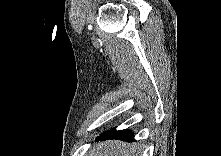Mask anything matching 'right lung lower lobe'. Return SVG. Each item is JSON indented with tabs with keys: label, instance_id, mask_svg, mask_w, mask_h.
Instances as JSON below:
<instances>
[{
	"label": "right lung lower lobe",
	"instance_id": "right-lung-lower-lobe-1",
	"mask_svg": "<svg viewBox=\"0 0 221 156\" xmlns=\"http://www.w3.org/2000/svg\"><path fill=\"white\" fill-rule=\"evenodd\" d=\"M98 139L106 140V139H120L127 142L135 141L133 132L130 130H112L102 134Z\"/></svg>",
	"mask_w": 221,
	"mask_h": 156
}]
</instances>
